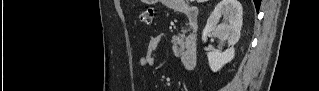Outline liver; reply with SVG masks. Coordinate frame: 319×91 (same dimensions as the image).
I'll return each instance as SVG.
<instances>
[{"label": "liver", "mask_w": 319, "mask_h": 91, "mask_svg": "<svg viewBox=\"0 0 319 91\" xmlns=\"http://www.w3.org/2000/svg\"><path fill=\"white\" fill-rule=\"evenodd\" d=\"M205 1H207V0H197V2H205ZM147 3H149V2H147Z\"/></svg>", "instance_id": "6515ba94"}]
</instances>
